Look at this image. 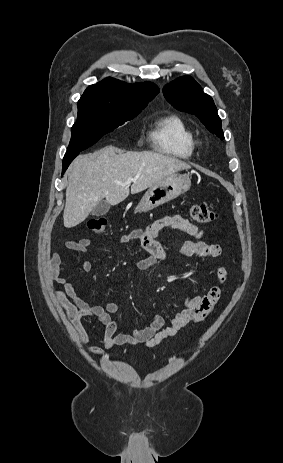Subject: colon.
Listing matches in <instances>:
<instances>
[{
  "label": "colon",
  "mask_w": 283,
  "mask_h": 463,
  "mask_svg": "<svg viewBox=\"0 0 283 463\" xmlns=\"http://www.w3.org/2000/svg\"><path fill=\"white\" fill-rule=\"evenodd\" d=\"M191 217L200 224L213 223L217 219V213L208 206L195 203L190 207ZM88 228L94 233H101L107 226V219L102 216L92 217L87 222Z\"/></svg>",
  "instance_id": "1"
}]
</instances>
